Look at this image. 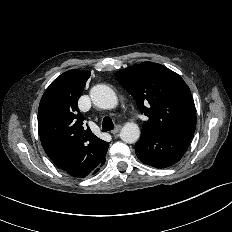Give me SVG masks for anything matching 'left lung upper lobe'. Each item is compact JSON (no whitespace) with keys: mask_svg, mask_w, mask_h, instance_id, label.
<instances>
[{"mask_svg":"<svg viewBox=\"0 0 232 232\" xmlns=\"http://www.w3.org/2000/svg\"><path fill=\"white\" fill-rule=\"evenodd\" d=\"M116 77L148 117L142 131L194 134L195 105L180 75L163 65L143 62L118 71Z\"/></svg>","mask_w":232,"mask_h":232,"instance_id":"left-lung-upper-lobe-1","label":"left lung upper lobe"}]
</instances>
